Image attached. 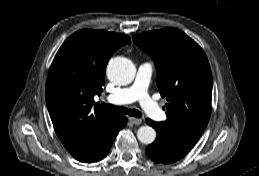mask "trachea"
I'll return each instance as SVG.
<instances>
[{
    "mask_svg": "<svg viewBox=\"0 0 259 176\" xmlns=\"http://www.w3.org/2000/svg\"><path fill=\"white\" fill-rule=\"evenodd\" d=\"M102 107H104L109 112H113V113L129 114L130 116H133V117H141L142 116L141 112H139L138 110H135V109H127L125 107H116L114 105L105 104V103H102Z\"/></svg>",
    "mask_w": 259,
    "mask_h": 176,
    "instance_id": "3493384b",
    "label": "trachea"
}]
</instances>
